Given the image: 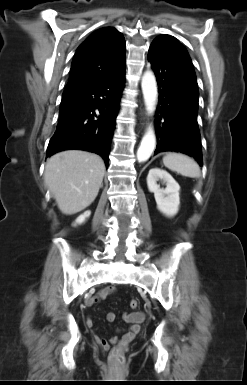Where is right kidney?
<instances>
[{
	"mask_svg": "<svg viewBox=\"0 0 247 385\" xmlns=\"http://www.w3.org/2000/svg\"><path fill=\"white\" fill-rule=\"evenodd\" d=\"M91 212L90 211H85L82 215H80L76 221H75V224H82L85 222V220L90 216Z\"/></svg>",
	"mask_w": 247,
	"mask_h": 385,
	"instance_id": "right-kidney-1",
	"label": "right kidney"
}]
</instances>
